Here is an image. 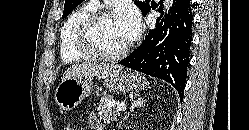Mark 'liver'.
Returning a JSON list of instances; mask_svg holds the SVG:
<instances>
[{
    "instance_id": "6515ba94",
    "label": "liver",
    "mask_w": 249,
    "mask_h": 130,
    "mask_svg": "<svg viewBox=\"0 0 249 130\" xmlns=\"http://www.w3.org/2000/svg\"><path fill=\"white\" fill-rule=\"evenodd\" d=\"M122 66L114 64H99V63H82L75 64L67 68L64 72L62 81L67 79H82V78H107L122 70Z\"/></svg>"
}]
</instances>
